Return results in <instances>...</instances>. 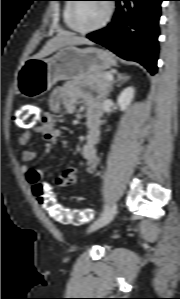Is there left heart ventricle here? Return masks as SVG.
<instances>
[{"instance_id": "b2bd125f", "label": "left heart ventricle", "mask_w": 180, "mask_h": 299, "mask_svg": "<svg viewBox=\"0 0 180 299\" xmlns=\"http://www.w3.org/2000/svg\"><path fill=\"white\" fill-rule=\"evenodd\" d=\"M106 15V4L79 3L76 9L75 22L80 28H91L102 22Z\"/></svg>"}]
</instances>
